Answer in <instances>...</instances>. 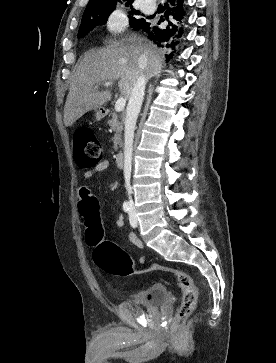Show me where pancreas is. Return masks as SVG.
<instances>
[{
  "label": "pancreas",
  "mask_w": 276,
  "mask_h": 363,
  "mask_svg": "<svg viewBox=\"0 0 276 363\" xmlns=\"http://www.w3.org/2000/svg\"><path fill=\"white\" fill-rule=\"evenodd\" d=\"M111 115L112 118L108 120L107 124L115 132L114 149L118 150V148L122 146L123 122L119 121V116L117 113L113 112ZM121 119L124 120V117H121Z\"/></svg>",
  "instance_id": "cf45deb5"
}]
</instances>
